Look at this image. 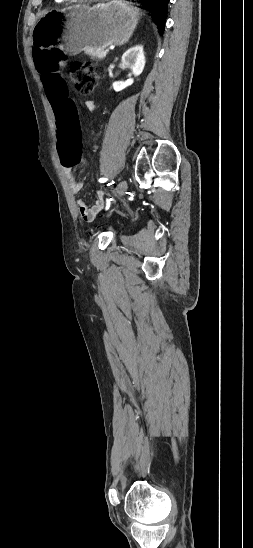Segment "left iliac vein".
Masks as SVG:
<instances>
[{"label":"left iliac vein","mask_w":253,"mask_h":548,"mask_svg":"<svg viewBox=\"0 0 253 548\" xmlns=\"http://www.w3.org/2000/svg\"><path fill=\"white\" fill-rule=\"evenodd\" d=\"M126 190H127V181L126 180L120 181L116 189V193L118 197H122L125 194ZM109 215H111V212L108 214V216Z\"/></svg>","instance_id":"left-iliac-vein-1"}]
</instances>
